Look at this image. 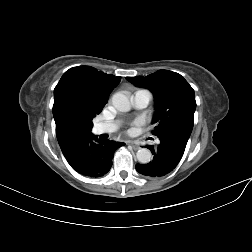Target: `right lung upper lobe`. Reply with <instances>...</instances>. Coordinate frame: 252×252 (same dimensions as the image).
I'll return each mask as SVG.
<instances>
[{"instance_id": "obj_1", "label": "right lung upper lobe", "mask_w": 252, "mask_h": 252, "mask_svg": "<svg viewBox=\"0 0 252 252\" xmlns=\"http://www.w3.org/2000/svg\"><path fill=\"white\" fill-rule=\"evenodd\" d=\"M91 66L67 70L54 89L53 116L61 150L91 134L92 119L105 106L109 94L120 82Z\"/></svg>"}]
</instances>
